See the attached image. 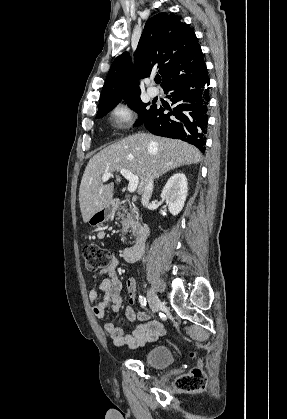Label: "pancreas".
<instances>
[{"mask_svg": "<svg viewBox=\"0 0 287 419\" xmlns=\"http://www.w3.org/2000/svg\"><path fill=\"white\" fill-rule=\"evenodd\" d=\"M117 215L121 219L123 235L127 232L135 231L138 225V210L135 206H130L129 210L122 206L119 209Z\"/></svg>", "mask_w": 287, "mask_h": 419, "instance_id": "obj_1", "label": "pancreas"}]
</instances>
